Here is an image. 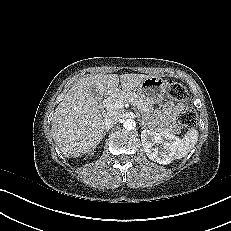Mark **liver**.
<instances>
[{
    "mask_svg": "<svg viewBox=\"0 0 231 231\" xmlns=\"http://www.w3.org/2000/svg\"><path fill=\"white\" fill-rule=\"evenodd\" d=\"M148 75L97 74L80 78L55 109L51 132L65 157L92 152L104 136V115L92 88L100 95L115 96L136 89ZM119 83L122 91L118 89Z\"/></svg>",
    "mask_w": 231,
    "mask_h": 231,
    "instance_id": "6515ba94",
    "label": "liver"
}]
</instances>
